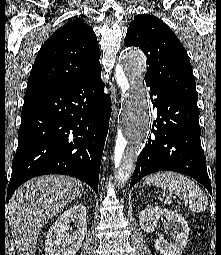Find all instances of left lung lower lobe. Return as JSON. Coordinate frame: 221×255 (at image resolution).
<instances>
[{"label": "left lung lower lobe", "mask_w": 221, "mask_h": 255, "mask_svg": "<svg viewBox=\"0 0 221 255\" xmlns=\"http://www.w3.org/2000/svg\"><path fill=\"white\" fill-rule=\"evenodd\" d=\"M157 108L152 135L140 153L130 187L144 176L156 171H176L186 174L212 194L206 169V158L200 146L201 129L197 103L150 88Z\"/></svg>", "instance_id": "left-lung-lower-lobe-1"}]
</instances>
